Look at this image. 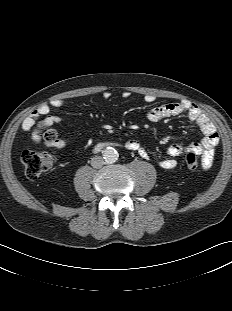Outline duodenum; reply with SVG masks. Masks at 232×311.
<instances>
[{
    "label": "duodenum",
    "instance_id": "obj_1",
    "mask_svg": "<svg viewBox=\"0 0 232 311\" xmlns=\"http://www.w3.org/2000/svg\"><path fill=\"white\" fill-rule=\"evenodd\" d=\"M111 143H108V142H103V143H99L97 146H96V150L99 151L103 148H106L108 146H110Z\"/></svg>",
    "mask_w": 232,
    "mask_h": 311
}]
</instances>
